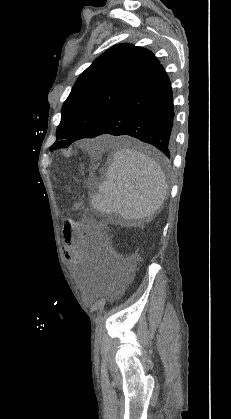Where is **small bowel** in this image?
Returning a JSON list of instances; mask_svg holds the SVG:
<instances>
[{"label":"small bowel","mask_w":231,"mask_h":419,"mask_svg":"<svg viewBox=\"0 0 231 419\" xmlns=\"http://www.w3.org/2000/svg\"><path fill=\"white\" fill-rule=\"evenodd\" d=\"M64 255L73 268L85 264L90 256V244L83 235V226L67 220L64 231Z\"/></svg>","instance_id":"1"}]
</instances>
